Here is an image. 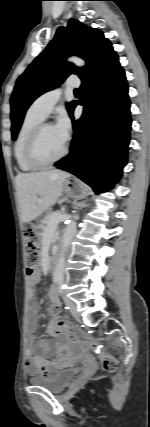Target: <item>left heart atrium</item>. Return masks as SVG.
I'll return each instance as SVG.
<instances>
[{"label":"left heart atrium","mask_w":150,"mask_h":427,"mask_svg":"<svg viewBox=\"0 0 150 427\" xmlns=\"http://www.w3.org/2000/svg\"><path fill=\"white\" fill-rule=\"evenodd\" d=\"M55 128L61 135L62 139L67 142L71 134V122L66 114L60 116Z\"/></svg>","instance_id":"left-heart-atrium-1"}]
</instances>
